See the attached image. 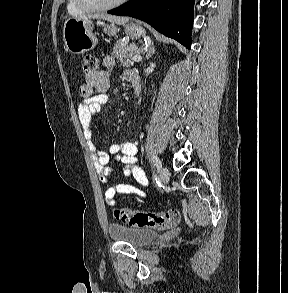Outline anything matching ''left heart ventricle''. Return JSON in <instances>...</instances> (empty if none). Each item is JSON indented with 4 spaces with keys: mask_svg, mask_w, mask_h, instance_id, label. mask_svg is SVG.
Returning <instances> with one entry per match:
<instances>
[{
    "mask_svg": "<svg viewBox=\"0 0 288 293\" xmlns=\"http://www.w3.org/2000/svg\"><path fill=\"white\" fill-rule=\"evenodd\" d=\"M91 3H94V4H108V3H112L116 0H87Z\"/></svg>",
    "mask_w": 288,
    "mask_h": 293,
    "instance_id": "1",
    "label": "left heart ventricle"
}]
</instances>
